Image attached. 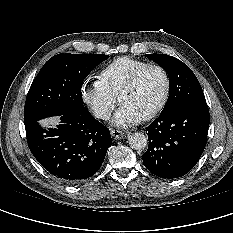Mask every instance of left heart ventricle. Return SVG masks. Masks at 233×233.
Here are the masks:
<instances>
[{
  "mask_svg": "<svg viewBox=\"0 0 233 233\" xmlns=\"http://www.w3.org/2000/svg\"><path fill=\"white\" fill-rule=\"evenodd\" d=\"M164 90L163 74L159 70L150 69L141 76L131 91L121 97L120 102L143 117L158 104Z\"/></svg>",
  "mask_w": 233,
  "mask_h": 233,
  "instance_id": "left-heart-ventricle-1",
  "label": "left heart ventricle"
}]
</instances>
